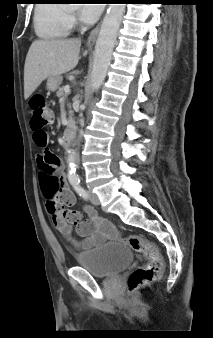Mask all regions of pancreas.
<instances>
[{"instance_id": "cf45deb5", "label": "pancreas", "mask_w": 213, "mask_h": 338, "mask_svg": "<svg viewBox=\"0 0 213 338\" xmlns=\"http://www.w3.org/2000/svg\"><path fill=\"white\" fill-rule=\"evenodd\" d=\"M56 95H57L58 98H62L63 95H64V87H60V88L58 89ZM70 109H71V106H70ZM69 115H70V117L73 116V111H72V110L69 111Z\"/></svg>"}]
</instances>
